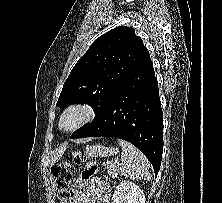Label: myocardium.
<instances>
[{
	"instance_id": "f54148a6",
	"label": "myocardium",
	"mask_w": 222,
	"mask_h": 203,
	"mask_svg": "<svg viewBox=\"0 0 222 203\" xmlns=\"http://www.w3.org/2000/svg\"><path fill=\"white\" fill-rule=\"evenodd\" d=\"M71 113H78L80 115L76 124L71 127L65 128L63 126L64 119ZM96 116L94 107L86 103H73L68 105L61 113L58 121L59 130L70 133L74 132L85 125L89 124Z\"/></svg>"
}]
</instances>
